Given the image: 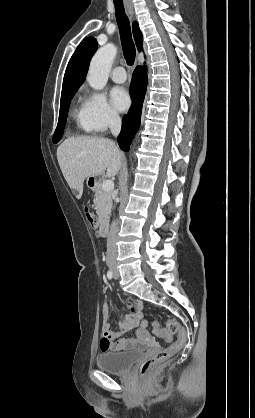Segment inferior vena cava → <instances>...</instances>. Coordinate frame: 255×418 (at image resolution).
<instances>
[{"label":"inferior vena cava","mask_w":255,"mask_h":418,"mask_svg":"<svg viewBox=\"0 0 255 418\" xmlns=\"http://www.w3.org/2000/svg\"><path fill=\"white\" fill-rule=\"evenodd\" d=\"M109 128L111 133L114 136H118L121 131V119L117 113H110L109 115ZM118 228L116 221H113L111 224L110 232L107 237V252H106V261L111 262L115 261L117 257V248L115 243V238Z\"/></svg>","instance_id":"obj_1"}]
</instances>
